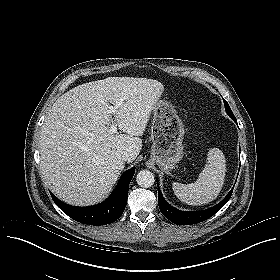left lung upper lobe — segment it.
<instances>
[{"mask_svg": "<svg viewBox=\"0 0 280 280\" xmlns=\"http://www.w3.org/2000/svg\"><path fill=\"white\" fill-rule=\"evenodd\" d=\"M223 102H224V105H225V109H226V112L227 114L234 120V121H237L229 104L227 103V101L225 99H223Z\"/></svg>", "mask_w": 280, "mask_h": 280, "instance_id": "obj_1", "label": "left lung upper lobe"}]
</instances>
